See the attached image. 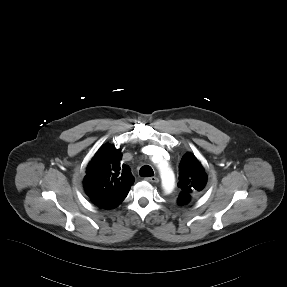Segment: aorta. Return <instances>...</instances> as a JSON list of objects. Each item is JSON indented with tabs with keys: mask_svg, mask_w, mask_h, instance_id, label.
<instances>
[{
	"mask_svg": "<svg viewBox=\"0 0 287 287\" xmlns=\"http://www.w3.org/2000/svg\"><path fill=\"white\" fill-rule=\"evenodd\" d=\"M159 169L163 188L165 189V191L169 192L173 189L174 186V174L168 167L160 165Z\"/></svg>",
	"mask_w": 287,
	"mask_h": 287,
	"instance_id": "aorta-1",
	"label": "aorta"
}]
</instances>
